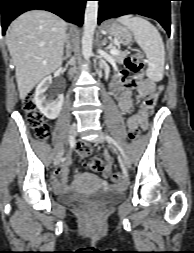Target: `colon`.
Returning <instances> with one entry per match:
<instances>
[{
  "instance_id": "obj_1",
  "label": "colon",
  "mask_w": 194,
  "mask_h": 253,
  "mask_svg": "<svg viewBox=\"0 0 194 253\" xmlns=\"http://www.w3.org/2000/svg\"><path fill=\"white\" fill-rule=\"evenodd\" d=\"M124 63L126 69L135 76L140 77L142 75L144 64L141 55L134 54L128 56ZM156 98V96L146 98L139 106V113L151 114L156 102ZM22 109L25 113L27 123L33 128L35 136L40 140L46 139L50 133V126L44 116L37 110L31 94L26 96L22 101ZM138 135V129L129 130V136L131 139H136ZM76 152L80 157H86L90 153V147L85 142H79L76 146ZM87 165L88 168L94 172H100L104 170L103 161L99 157L91 158ZM108 177L113 183H120L123 180V176L120 172H110Z\"/></svg>"
}]
</instances>
